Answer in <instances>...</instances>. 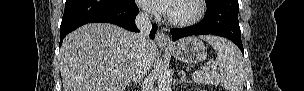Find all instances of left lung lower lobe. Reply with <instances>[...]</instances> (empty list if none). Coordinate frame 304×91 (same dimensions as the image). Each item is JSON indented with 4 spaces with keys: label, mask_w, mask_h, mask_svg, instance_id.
<instances>
[{
    "label": "left lung lower lobe",
    "mask_w": 304,
    "mask_h": 91,
    "mask_svg": "<svg viewBox=\"0 0 304 91\" xmlns=\"http://www.w3.org/2000/svg\"><path fill=\"white\" fill-rule=\"evenodd\" d=\"M238 11V0H216L207 5L205 17L198 24L182 29H171L172 40L176 41L191 35H218L230 39L244 54Z\"/></svg>",
    "instance_id": "1"
}]
</instances>
